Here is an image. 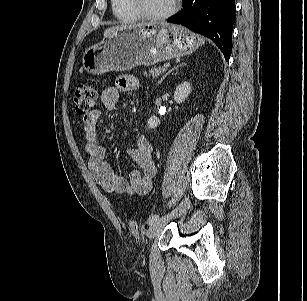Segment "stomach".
Segmentation results:
<instances>
[{"mask_svg": "<svg viewBox=\"0 0 307 301\" xmlns=\"http://www.w3.org/2000/svg\"><path fill=\"white\" fill-rule=\"evenodd\" d=\"M202 43L200 36L181 25L149 23L125 27L110 32L101 43L88 48L82 66L91 75L126 71L190 54Z\"/></svg>", "mask_w": 307, "mask_h": 301, "instance_id": "obj_1", "label": "stomach"}]
</instances>
